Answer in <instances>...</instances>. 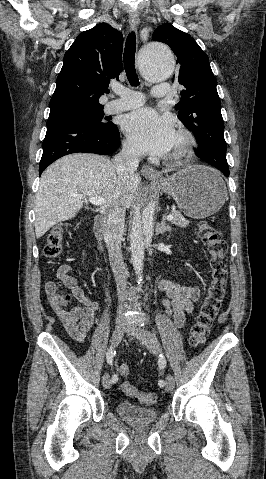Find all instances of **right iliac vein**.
<instances>
[{"instance_id":"obj_1","label":"right iliac vein","mask_w":266,"mask_h":479,"mask_svg":"<svg viewBox=\"0 0 266 479\" xmlns=\"http://www.w3.org/2000/svg\"><path fill=\"white\" fill-rule=\"evenodd\" d=\"M125 332V325L124 323H119L116 325L112 337H111V345L112 346H117L120 341L122 340V337ZM102 385L105 389H109L111 387V380L107 374H105L102 378Z\"/></svg>"}]
</instances>
